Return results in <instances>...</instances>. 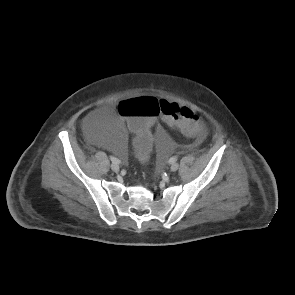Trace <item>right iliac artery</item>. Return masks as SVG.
Segmentation results:
<instances>
[{"instance_id":"right-iliac-artery-1","label":"right iliac artery","mask_w":295,"mask_h":295,"mask_svg":"<svg viewBox=\"0 0 295 295\" xmlns=\"http://www.w3.org/2000/svg\"><path fill=\"white\" fill-rule=\"evenodd\" d=\"M110 159H111V161H112L113 163H117V164L120 163V160L117 159V158H115V157H113V156H110Z\"/></svg>"}]
</instances>
